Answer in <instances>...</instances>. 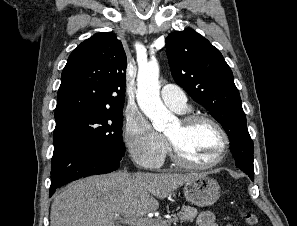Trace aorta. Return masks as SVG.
I'll return each instance as SVG.
<instances>
[{
  "mask_svg": "<svg viewBox=\"0 0 297 226\" xmlns=\"http://www.w3.org/2000/svg\"><path fill=\"white\" fill-rule=\"evenodd\" d=\"M137 102L143 113L152 121L154 129L163 131L171 118L159 95V66L150 61L139 67L137 75Z\"/></svg>",
  "mask_w": 297,
  "mask_h": 226,
  "instance_id": "1",
  "label": "aorta"
}]
</instances>
